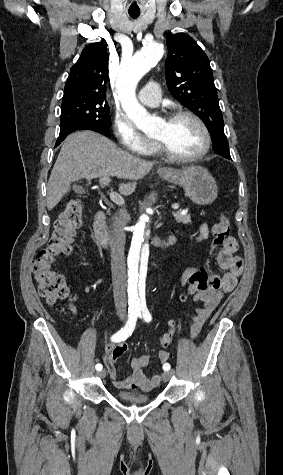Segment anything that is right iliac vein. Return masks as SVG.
<instances>
[{
	"label": "right iliac vein",
	"mask_w": 283,
	"mask_h": 475,
	"mask_svg": "<svg viewBox=\"0 0 283 475\" xmlns=\"http://www.w3.org/2000/svg\"><path fill=\"white\" fill-rule=\"evenodd\" d=\"M97 375L101 378H104L106 376V370H102L101 372L97 373Z\"/></svg>",
	"instance_id": "63e3f726"
}]
</instances>
